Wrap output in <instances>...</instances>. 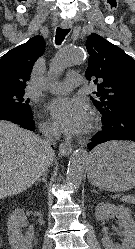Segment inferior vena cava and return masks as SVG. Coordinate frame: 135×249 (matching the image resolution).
Instances as JSON below:
<instances>
[{"mask_svg": "<svg viewBox=\"0 0 135 249\" xmlns=\"http://www.w3.org/2000/svg\"><path fill=\"white\" fill-rule=\"evenodd\" d=\"M41 132L44 135V143L46 145V147L51 150L52 152H54L51 148L52 144H55L56 141L59 139L60 137V132L57 128H52V127H47V126H42L41 127Z\"/></svg>", "mask_w": 135, "mask_h": 249, "instance_id": "602c4592", "label": "inferior vena cava"}]
</instances>
